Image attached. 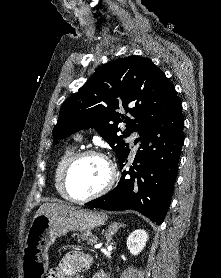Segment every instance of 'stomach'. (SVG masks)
Segmentation results:
<instances>
[{
    "mask_svg": "<svg viewBox=\"0 0 221 278\" xmlns=\"http://www.w3.org/2000/svg\"><path fill=\"white\" fill-rule=\"evenodd\" d=\"M107 219L105 213L88 209L35 216L26 235L24 257H21L25 278H44L48 269L47 251L57 238L69 231L89 232L103 225Z\"/></svg>",
    "mask_w": 221,
    "mask_h": 278,
    "instance_id": "stomach-1",
    "label": "stomach"
}]
</instances>
